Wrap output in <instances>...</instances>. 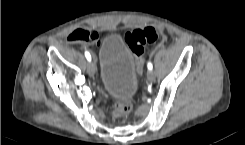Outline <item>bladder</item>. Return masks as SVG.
I'll use <instances>...</instances> for the list:
<instances>
[{
	"instance_id": "obj_1",
	"label": "bladder",
	"mask_w": 245,
	"mask_h": 145,
	"mask_svg": "<svg viewBox=\"0 0 245 145\" xmlns=\"http://www.w3.org/2000/svg\"><path fill=\"white\" fill-rule=\"evenodd\" d=\"M100 78L104 89L114 97H130L137 81L133 53L121 35L113 34L100 48Z\"/></svg>"
}]
</instances>
